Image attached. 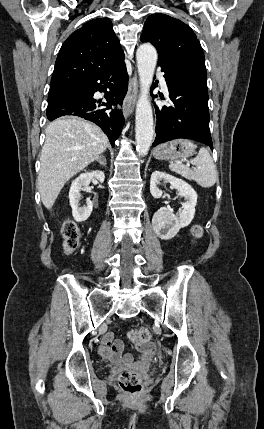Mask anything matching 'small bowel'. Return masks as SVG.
<instances>
[{"instance_id":"small-bowel-1","label":"small bowel","mask_w":264,"mask_h":429,"mask_svg":"<svg viewBox=\"0 0 264 429\" xmlns=\"http://www.w3.org/2000/svg\"><path fill=\"white\" fill-rule=\"evenodd\" d=\"M138 351L140 353V360H145L150 357L155 351V345L152 343H147L145 345L138 346ZM124 344L121 340H113V334L111 332L106 333L102 342L99 346L100 354L115 362L124 365H130L133 362V358L129 354L123 355Z\"/></svg>"}]
</instances>
